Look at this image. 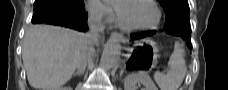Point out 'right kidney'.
<instances>
[{"mask_svg": "<svg viewBox=\"0 0 228 90\" xmlns=\"http://www.w3.org/2000/svg\"><path fill=\"white\" fill-rule=\"evenodd\" d=\"M57 90H71V88H58Z\"/></svg>", "mask_w": 228, "mask_h": 90, "instance_id": "ca27d5eb", "label": "right kidney"}]
</instances>
